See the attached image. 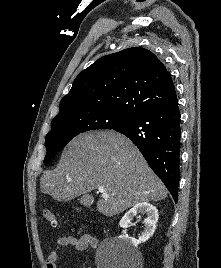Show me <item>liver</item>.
Returning <instances> with one entry per match:
<instances>
[{"instance_id": "obj_1", "label": "liver", "mask_w": 221, "mask_h": 268, "mask_svg": "<svg viewBox=\"0 0 221 268\" xmlns=\"http://www.w3.org/2000/svg\"><path fill=\"white\" fill-rule=\"evenodd\" d=\"M99 187L109 197L100 199L97 209L109 217L168 194L136 146L115 131L77 136L64 148L57 168L40 180L42 193L63 202Z\"/></svg>"}]
</instances>
